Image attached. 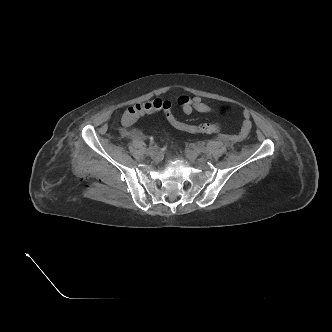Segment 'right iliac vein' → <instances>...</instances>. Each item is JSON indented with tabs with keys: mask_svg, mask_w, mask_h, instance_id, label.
<instances>
[{
	"mask_svg": "<svg viewBox=\"0 0 332 332\" xmlns=\"http://www.w3.org/2000/svg\"><path fill=\"white\" fill-rule=\"evenodd\" d=\"M149 155H150L151 157H156L157 152L154 151V150H152V151L149 152Z\"/></svg>",
	"mask_w": 332,
	"mask_h": 332,
	"instance_id": "right-iliac-vein-1",
	"label": "right iliac vein"
}]
</instances>
